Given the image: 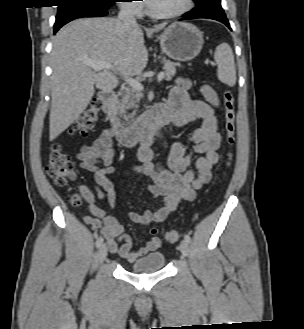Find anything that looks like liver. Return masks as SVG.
<instances>
[{
    "instance_id": "liver-1",
    "label": "liver",
    "mask_w": 304,
    "mask_h": 329,
    "mask_svg": "<svg viewBox=\"0 0 304 329\" xmlns=\"http://www.w3.org/2000/svg\"><path fill=\"white\" fill-rule=\"evenodd\" d=\"M165 24L155 25L158 32ZM86 61H105L112 69L93 71ZM148 62L143 31L115 18H83L62 27L53 38L51 52V109L49 139L65 131L88 106L95 87L110 91L123 77L140 74ZM115 71V73L113 72Z\"/></svg>"
}]
</instances>
